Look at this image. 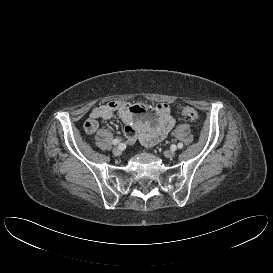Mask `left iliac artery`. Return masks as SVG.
I'll return each mask as SVG.
<instances>
[{
  "label": "left iliac artery",
  "instance_id": "1",
  "mask_svg": "<svg viewBox=\"0 0 273 273\" xmlns=\"http://www.w3.org/2000/svg\"><path fill=\"white\" fill-rule=\"evenodd\" d=\"M177 147H178V149H182L183 148V144L182 143H178Z\"/></svg>",
  "mask_w": 273,
  "mask_h": 273
}]
</instances>
